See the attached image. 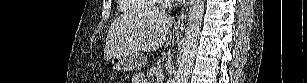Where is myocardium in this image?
Wrapping results in <instances>:
<instances>
[{
  "label": "myocardium",
  "mask_w": 307,
  "mask_h": 83,
  "mask_svg": "<svg viewBox=\"0 0 307 83\" xmlns=\"http://www.w3.org/2000/svg\"><path fill=\"white\" fill-rule=\"evenodd\" d=\"M166 3H167V2H162V3L160 4L159 7H160L161 9H167L168 6H165V5H167Z\"/></svg>",
  "instance_id": "myocardium-1"
}]
</instances>
